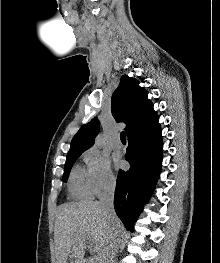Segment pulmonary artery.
<instances>
[{"label":"pulmonary artery","mask_w":220,"mask_h":263,"mask_svg":"<svg viewBox=\"0 0 220 263\" xmlns=\"http://www.w3.org/2000/svg\"><path fill=\"white\" fill-rule=\"evenodd\" d=\"M115 148H122V142L120 141V138H117L114 142Z\"/></svg>","instance_id":"e3ab8cb5"}]
</instances>
